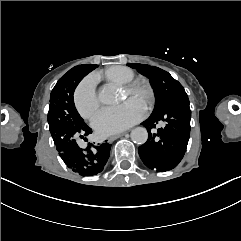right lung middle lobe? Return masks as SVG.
<instances>
[{
    "instance_id": "right-lung-middle-lobe-1",
    "label": "right lung middle lobe",
    "mask_w": 241,
    "mask_h": 241,
    "mask_svg": "<svg viewBox=\"0 0 241 241\" xmlns=\"http://www.w3.org/2000/svg\"><path fill=\"white\" fill-rule=\"evenodd\" d=\"M82 67V65L75 66L63 75L50 94L48 124L55 145L59 144L65 136L75 138L86 125L77 112L73 100L77 86L75 81ZM92 67L95 69L98 65H92Z\"/></svg>"
}]
</instances>
